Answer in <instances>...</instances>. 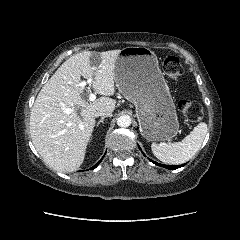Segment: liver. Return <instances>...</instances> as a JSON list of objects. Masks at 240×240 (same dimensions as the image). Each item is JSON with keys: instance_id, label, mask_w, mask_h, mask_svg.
<instances>
[{"instance_id": "obj_1", "label": "liver", "mask_w": 240, "mask_h": 240, "mask_svg": "<svg viewBox=\"0 0 240 240\" xmlns=\"http://www.w3.org/2000/svg\"><path fill=\"white\" fill-rule=\"evenodd\" d=\"M121 50L84 51L67 59L39 92L30 115L32 142L43 161L59 172L76 171L83 163L95 126V114L113 112L116 101L115 63ZM98 56L99 65H92ZM81 76L93 79L102 97L93 102L81 98ZM71 109L70 113L66 110Z\"/></svg>"}]
</instances>
